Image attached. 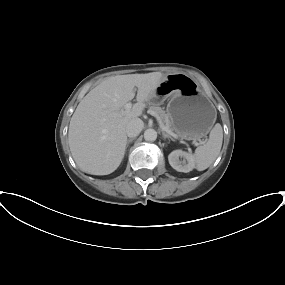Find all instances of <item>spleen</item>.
<instances>
[{
  "mask_svg": "<svg viewBox=\"0 0 285 285\" xmlns=\"http://www.w3.org/2000/svg\"><path fill=\"white\" fill-rule=\"evenodd\" d=\"M223 142V130L217 123L209 134V139L206 144L196 148L194 160L196 169L203 171L207 169L218 157Z\"/></svg>",
  "mask_w": 285,
  "mask_h": 285,
  "instance_id": "obj_1",
  "label": "spleen"
}]
</instances>
